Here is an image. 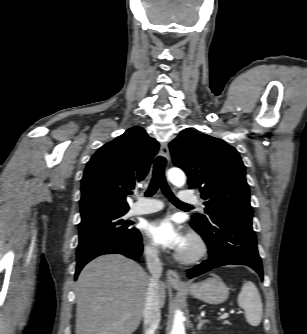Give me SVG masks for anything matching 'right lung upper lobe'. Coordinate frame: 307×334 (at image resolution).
Here are the masks:
<instances>
[{
	"instance_id": "cb5924a9",
	"label": "right lung upper lobe",
	"mask_w": 307,
	"mask_h": 334,
	"mask_svg": "<svg viewBox=\"0 0 307 334\" xmlns=\"http://www.w3.org/2000/svg\"><path fill=\"white\" fill-rule=\"evenodd\" d=\"M158 142L134 126L102 146L87 163L82 178L81 215L98 212H127L128 189L147 175Z\"/></svg>"
}]
</instances>
